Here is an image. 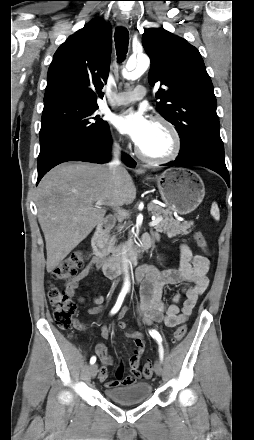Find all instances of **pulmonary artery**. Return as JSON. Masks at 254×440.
Masks as SVG:
<instances>
[{
  "mask_svg": "<svg viewBox=\"0 0 254 440\" xmlns=\"http://www.w3.org/2000/svg\"><path fill=\"white\" fill-rule=\"evenodd\" d=\"M146 96V88L143 85L136 86L131 91H124L116 94L108 101V105L119 106L132 103Z\"/></svg>",
  "mask_w": 254,
  "mask_h": 440,
  "instance_id": "pulmonary-artery-1",
  "label": "pulmonary artery"
}]
</instances>
